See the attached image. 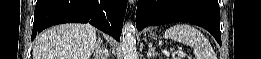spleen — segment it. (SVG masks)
Segmentation results:
<instances>
[{
    "mask_svg": "<svg viewBox=\"0 0 261 59\" xmlns=\"http://www.w3.org/2000/svg\"><path fill=\"white\" fill-rule=\"evenodd\" d=\"M163 37L192 47L196 59H216L209 41L198 29L189 24H177L170 27Z\"/></svg>",
    "mask_w": 261,
    "mask_h": 59,
    "instance_id": "obj_1",
    "label": "spleen"
}]
</instances>
